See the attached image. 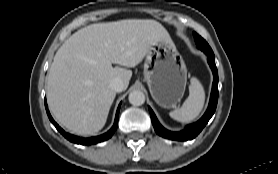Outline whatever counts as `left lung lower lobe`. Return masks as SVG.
<instances>
[{"instance_id": "0a47b994", "label": "left lung lower lobe", "mask_w": 278, "mask_h": 174, "mask_svg": "<svg viewBox=\"0 0 278 174\" xmlns=\"http://www.w3.org/2000/svg\"><path fill=\"white\" fill-rule=\"evenodd\" d=\"M204 53L208 57V63L212 69L213 76H214L211 97H210V102H209L207 111L205 112V114L203 115V117L200 120H198L196 123L188 125L183 131L171 132L161 126V124L157 120L154 112L149 107L152 124L158 135H160L164 138L176 140V141L191 140V139L195 138L202 131V129L208 123L210 118L213 116V114L216 110L217 102H218V72H217V68L215 65L214 53H210V52H204Z\"/></svg>"}]
</instances>
